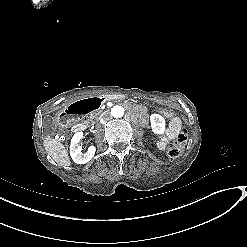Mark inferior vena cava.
<instances>
[{"mask_svg":"<svg viewBox=\"0 0 247 247\" xmlns=\"http://www.w3.org/2000/svg\"><path fill=\"white\" fill-rule=\"evenodd\" d=\"M103 115H105V114H103ZM103 115L100 117V119L103 117Z\"/></svg>","mask_w":247,"mask_h":247,"instance_id":"obj_1","label":"inferior vena cava"}]
</instances>
